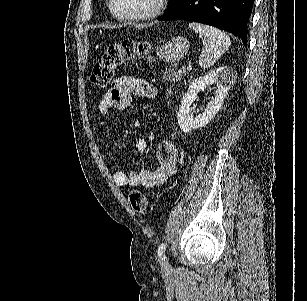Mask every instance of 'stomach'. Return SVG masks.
Instances as JSON below:
<instances>
[{
  "mask_svg": "<svg viewBox=\"0 0 307 301\" xmlns=\"http://www.w3.org/2000/svg\"><path fill=\"white\" fill-rule=\"evenodd\" d=\"M189 46L190 42L184 36H173L168 42L158 46L157 56L164 62H177L187 54Z\"/></svg>",
  "mask_w": 307,
  "mask_h": 301,
  "instance_id": "0dacf381",
  "label": "stomach"
}]
</instances>
